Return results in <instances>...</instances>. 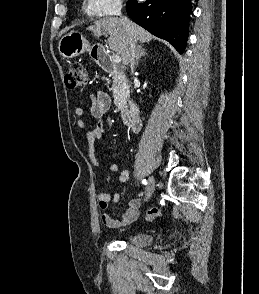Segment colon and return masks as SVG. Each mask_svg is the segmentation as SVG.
<instances>
[{
  "instance_id": "colon-1",
  "label": "colon",
  "mask_w": 259,
  "mask_h": 294,
  "mask_svg": "<svg viewBox=\"0 0 259 294\" xmlns=\"http://www.w3.org/2000/svg\"><path fill=\"white\" fill-rule=\"evenodd\" d=\"M65 84L69 89L85 87L87 76L81 63L73 62L70 64L67 74L65 75ZM164 210L159 207H152L146 213V219L149 222L157 220Z\"/></svg>"
}]
</instances>
